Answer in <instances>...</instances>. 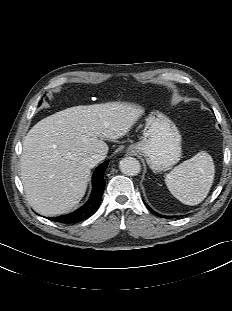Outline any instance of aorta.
Here are the masks:
<instances>
[{"label":"aorta","mask_w":232,"mask_h":311,"mask_svg":"<svg viewBox=\"0 0 232 311\" xmlns=\"http://www.w3.org/2000/svg\"><path fill=\"white\" fill-rule=\"evenodd\" d=\"M120 171L127 176H135L141 170V165L136 158L125 157L119 162Z\"/></svg>","instance_id":"762f6f07"}]
</instances>
